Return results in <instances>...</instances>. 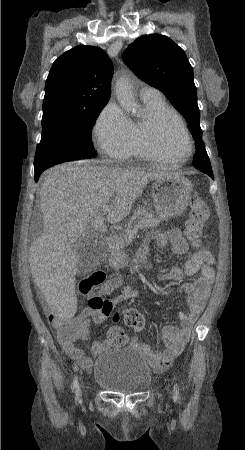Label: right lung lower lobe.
I'll return each mask as SVG.
<instances>
[{
	"instance_id": "obj_1",
	"label": "right lung lower lobe",
	"mask_w": 245,
	"mask_h": 450,
	"mask_svg": "<svg viewBox=\"0 0 245 450\" xmlns=\"http://www.w3.org/2000/svg\"><path fill=\"white\" fill-rule=\"evenodd\" d=\"M42 171H43V170H35V181H36V182L38 181L39 176H40V174H41Z\"/></svg>"
}]
</instances>
